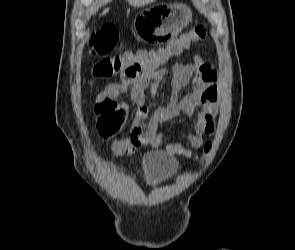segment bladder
<instances>
[{"mask_svg":"<svg viewBox=\"0 0 295 250\" xmlns=\"http://www.w3.org/2000/svg\"><path fill=\"white\" fill-rule=\"evenodd\" d=\"M146 180L151 185H160L171 180L178 172V161L161 151H150L143 156Z\"/></svg>","mask_w":295,"mask_h":250,"instance_id":"bladder-1","label":"bladder"}]
</instances>
